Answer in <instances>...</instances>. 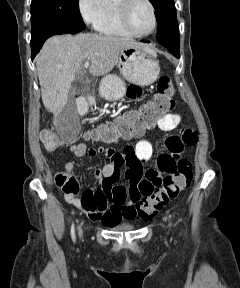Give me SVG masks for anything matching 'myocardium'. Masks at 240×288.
<instances>
[{
    "label": "myocardium",
    "mask_w": 240,
    "mask_h": 288,
    "mask_svg": "<svg viewBox=\"0 0 240 288\" xmlns=\"http://www.w3.org/2000/svg\"><path fill=\"white\" fill-rule=\"evenodd\" d=\"M139 0H116L117 9L119 12V18L122 27L135 37H148L154 34L158 28V17L156 8L151 0H141L147 3L152 11L154 26L153 29L148 33H138L136 32L131 25V10L133 5Z\"/></svg>",
    "instance_id": "obj_1"
}]
</instances>
